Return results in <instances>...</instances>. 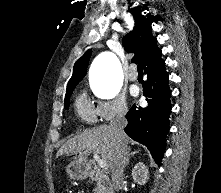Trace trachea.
I'll return each mask as SVG.
<instances>
[{"label":"trachea","mask_w":221,"mask_h":193,"mask_svg":"<svg viewBox=\"0 0 221 193\" xmlns=\"http://www.w3.org/2000/svg\"><path fill=\"white\" fill-rule=\"evenodd\" d=\"M137 70H138V73H143V68L141 64H138Z\"/></svg>","instance_id":"obj_1"}]
</instances>
